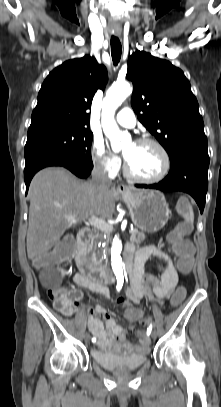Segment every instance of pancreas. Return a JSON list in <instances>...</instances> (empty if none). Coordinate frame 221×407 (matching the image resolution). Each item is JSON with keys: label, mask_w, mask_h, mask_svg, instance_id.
Masks as SVG:
<instances>
[{"label": "pancreas", "mask_w": 221, "mask_h": 407, "mask_svg": "<svg viewBox=\"0 0 221 407\" xmlns=\"http://www.w3.org/2000/svg\"><path fill=\"white\" fill-rule=\"evenodd\" d=\"M98 236V235H97ZM95 235H91L88 243V250L91 251L93 249V241H94ZM146 236L144 232H140L138 230H134L131 232V237L130 241L136 244H140L145 240Z\"/></svg>", "instance_id": "cf45deb5"}]
</instances>
